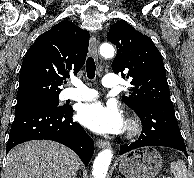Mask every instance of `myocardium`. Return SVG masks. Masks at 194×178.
<instances>
[{
    "instance_id": "1",
    "label": "myocardium",
    "mask_w": 194,
    "mask_h": 178,
    "mask_svg": "<svg viewBox=\"0 0 194 178\" xmlns=\"http://www.w3.org/2000/svg\"><path fill=\"white\" fill-rule=\"evenodd\" d=\"M141 131V124L140 122L134 118L129 117L126 120V137L133 138L137 136Z\"/></svg>"
}]
</instances>
